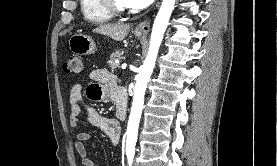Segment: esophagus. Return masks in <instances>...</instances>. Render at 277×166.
<instances>
[{
    "instance_id": "34e87169",
    "label": "esophagus",
    "mask_w": 277,
    "mask_h": 166,
    "mask_svg": "<svg viewBox=\"0 0 277 166\" xmlns=\"http://www.w3.org/2000/svg\"><path fill=\"white\" fill-rule=\"evenodd\" d=\"M150 29V22L148 20L140 22L136 28L135 32L140 35H146L149 32Z\"/></svg>"
}]
</instances>
